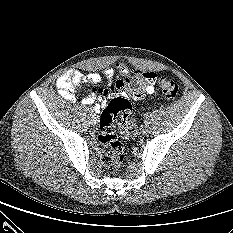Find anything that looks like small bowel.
I'll return each instance as SVG.
<instances>
[{"instance_id": "c3829d8e", "label": "small bowel", "mask_w": 233, "mask_h": 233, "mask_svg": "<svg viewBox=\"0 0 233 233\" xmlns=\"http://www.w3.org/2000/svg\"><path fill=\"white\" fill-rule=\"evenodd\" d=\"M115 69L122 75V79L115 80ZM113 68L103 70V75L106 79V85L99 88L89 90L86 97L82 99L83 104L95 105L97 108L103 104L105 100L115 94H122L128 98L133 97L128 89V80L131 76L129 68L123 63H117ZM145 77V83L142 91L147 94L154 92L155 73H142ZM102 81V75L98 72H90L84 74L79 70L70 69L64 72L57 79V88L59 94L67 101L73 102L76 99V94L82 84L97 85Z\"/></svg>"}]
</instances>
